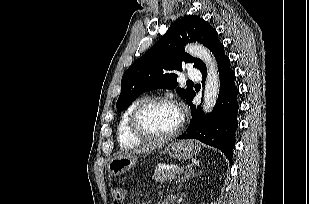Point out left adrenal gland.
Masks as SVG:
<instances>
[{"label": "left adrenal gland", "mask_w": 309, "mask_h": 204, "mask_svg": "<svg viewBox=\"0 0 309 204\" xmlns=\"http://www.w3.org/2000/svg\"><path fill=\"white\" fill-rule=\"evenodd\" d=\"M193 165L195 166H199V162L197 161L196 163H194ZM193 165H191V167H188L186 169V171L184 172V175H182L181 177H179V179L177 180V189H180L182 187L183 182L186 181V179H190L192 177H195V173H194V169H193Z\"/></svg>", "instance_id": "1"}]
</instances>
